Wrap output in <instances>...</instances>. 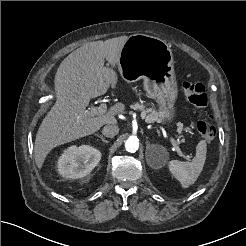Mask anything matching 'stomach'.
Here are the masks:
<instances>
[{"label":"stomach","instance_id":"1","mask_svg":"<svg viewBox=\"0 0 246 246\" xmlns=\"http://www.w3.org/2000/svg\"><path fill=\"white\" fill-rule=\"evenodd\" d=\"M118 70L127 82L143 79L146 94L168 112L171 120L178 95L174 59L170 46L157 37L134 34L124 43Z\"/></svg>","mask_w":246,"mask_h":246}]
</instances>
